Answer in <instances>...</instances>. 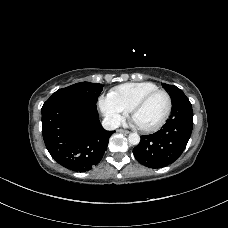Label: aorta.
<instances>
[{
    "instance_id": "aorta-1",
    "label": "aorta",
    "mask_w": 228,
    "mask_h": 228,
    "mask_svg": "<svg viewBox=\"0 0 228 228\" xmlns=\"http://www.w3.org/2000/svg\"><path fill=\"white\" fill-rule=\"evenodd\" d=\"M129 143L132 145H138L140 142V136L137 133H131L128 137Z\"/></svg>"
}]
</instances>
